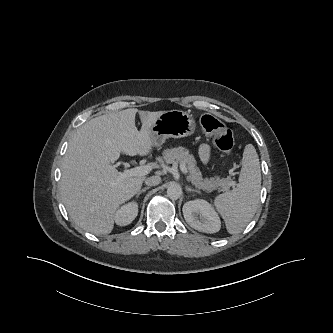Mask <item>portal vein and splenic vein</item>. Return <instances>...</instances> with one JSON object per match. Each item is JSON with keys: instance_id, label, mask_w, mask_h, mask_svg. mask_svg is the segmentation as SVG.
I'll use <instances>...</instances> for the list:
<instances>
[{"instance_id": "1", "label": "portal vein and splenic vein", "mask_w": 333, "mask_h": 333, "mask_svg": "<svg viewBox=\"0 0 333 333\" xmlns=\"http://www.w3.org/2000/svg\"><path fill=\"white\" fill-rule=\"evenodd\" d=\"M180 170L184 173L187 174V168L184 164H180ZM151 171V166L149 165H142V166H137L131 169H126L124 170L123 173L120 174V178L124 177H137V176H144L147 175Z\"/></svg>"}]
</instances>
